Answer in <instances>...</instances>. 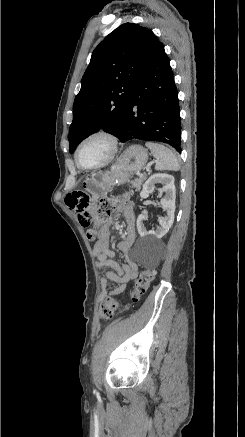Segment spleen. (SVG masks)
I'll return each mask as SVG.
<instances>
[{"instance_id": "spleen-1", "label": "spleen", "mask_w": 245, "mask_h": 437, "mask_svg": "<svg viewBox=\"0 0 245 437\" xmlns=\"http://www.w3.org/2000/svg\"><path fill=\"white\" fill-rule=\"evenodd\" d=\"M145 145L156 158L155 170L178 171L180 169V159L172 150L154 142H146Z\"/></svg>"}]
</instances>
